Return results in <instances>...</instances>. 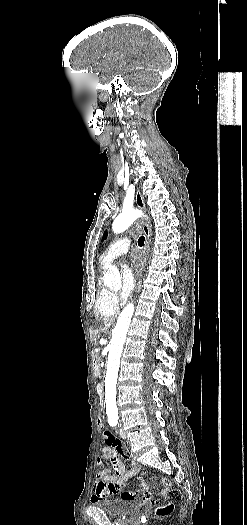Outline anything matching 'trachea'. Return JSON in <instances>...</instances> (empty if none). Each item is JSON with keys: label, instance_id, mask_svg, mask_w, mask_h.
<instances>
[{"label": "trachea", "instance_id": "obj_1", "mask_svg": "<svg viewBox=\"0 0 247 525\" xmlns=\"http://www.w3.org/2000/svg\"><path fill=\"white\" fill-rule=\"evenodd\" d=\"M137 243H138L139 247H143V245L145 243V237L144 236L139 237Z\"/></svg>", "mask_w": 247, "mask_h": 525}]
</instances>
